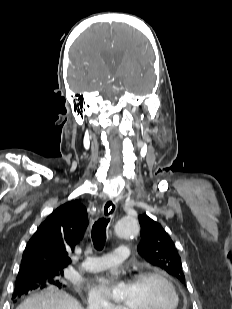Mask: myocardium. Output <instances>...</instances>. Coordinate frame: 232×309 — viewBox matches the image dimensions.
Masks as SVG:
<instances>
[{
  "label": "myocardium",
  "instance_id": "myocardium-1",
  "mask_svg": "<svg viewBox=\"0 0 232 309\" xmlns=\"http://www.w3.org/2000/svg\"><path fill=\"white\" fill-rule=\"evenodd\" d=\"M148 278H155L160 281H162L168 288L172 299L173 303L169 309H179L180 307V295L179 292L174 285V283L170 280V278L165 275L163 272L159 270H154V269H148V270H143L136 275L133 276L131 283H138L140 281H143ZM123 309H129L127 306L123 307Z\"/></svg>",
  "mask_w": 232,
  "mask_h": 309
}]
</instances>
